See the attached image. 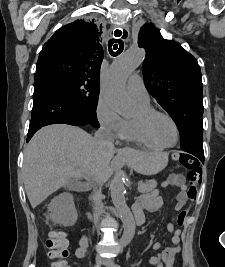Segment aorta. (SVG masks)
Here are the masks:
<instances>
[{"label":"aorta","instance_id":"aorta-1","mask_svg":"<svg viewBox=\"0 0 225 267\" xmlns=\"http://www.w3.org/2000/svg\"><path fill=\"white\" fill-rule=\"evenodd\" d=\"M144 57L145 51L137 47L127 50L111 64L103 87V95L106 101L120 113L127 111L131 106L126 92V81L129 75L143 62ZM110 191L112 202L124 226L120 243L126 245L134 236L135 224L132 213L125 200L126 191L122 173L114 176L110 185Z\"/></svg>","mask_w":225,"mask_h":267}]
</instances>
